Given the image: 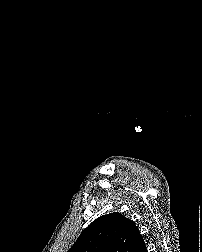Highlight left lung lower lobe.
<instances>
[{
  "mask_svg": "<svg viewBox=\"0 0 202 252\" xmlns=\"http://www.w3.org/2000/svg\"><path fill=\"white\" fill-rule=\"evenodd\" d=\"M135 252H147V247L145 245L144 239L141 234L139 236V241H138Z\"/></svg>",
  "mask_w": 202,
  "mask_h": 252,
  "instance_id": "obj_1",
  "label": "left lung lower lobe"
}]
</instances>
